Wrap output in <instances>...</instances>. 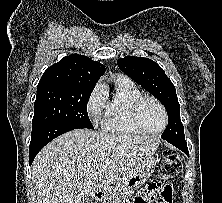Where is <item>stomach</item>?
I'll return each mask as SVG.
<instances>
[{
	"label": "stomach",
	"instance_id": "1",
	"mask_svg": "<svg viewBox=\"0 0 222 203\" xmlns=\"http://www.w3.org/2000/svg\"><path fill=\"white\" fill-rule=\"evenodd\" d=\"M156 166V159L150 156L142 165L140 169L134 172L119 186L121 198H128L139 189L154 172Z\"/></svg>",
	"mask_w": 222,
	"mask_h": 203
}]
</instances>
